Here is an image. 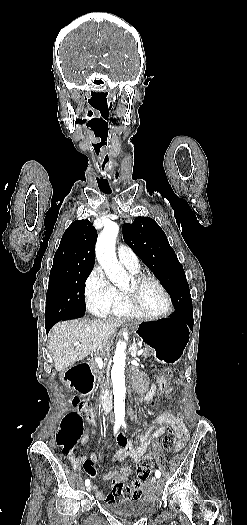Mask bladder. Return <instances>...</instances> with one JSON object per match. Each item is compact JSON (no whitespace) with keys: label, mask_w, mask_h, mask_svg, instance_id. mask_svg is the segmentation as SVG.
Returning a JSON list of instances; mask_svg holds the SVG:
<instances>
[{"label":"bladder","mask_w":247,"mask_h":525,"mask_svg":"<svg viewBox=\"0 0 247 525\" xmlns=\"http://www.w3.org/2000/svg\"><path fill=\"white\" fill-rule=\"evenodd\" d=\"M154 499L148 495L141 498H125L115 502L104 503L105 509L116 517H140L148 513L152 507Z\"/></svg>","instance_id":"bladder-1"}]
</instances>
